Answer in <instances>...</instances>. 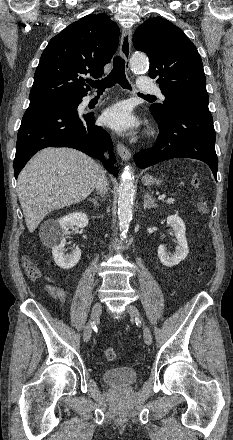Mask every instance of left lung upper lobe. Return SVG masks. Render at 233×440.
I'll return each instance as SVG.
<instances>
[{
	"label": "left lung upper lobe",
	"instance_id": "1",
	"mask_svg": "<svg viewBox=\"0 0 233 440\" xmlns=\"http://www.w3.org/2000/svg\"><path fill=\"white\" fill-rule=\"evenodd\" d=\"M134 47L150 60L149 76L165 96L164 104H153L151 112L166 119L172 109L183 104L207 106L206 80L201 57L181 29L164 18H151L133 36Z\"/></svg>",
	"mask_w": 233,
	"mask_h": 440
}]
</instances>
